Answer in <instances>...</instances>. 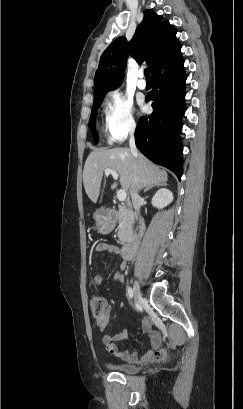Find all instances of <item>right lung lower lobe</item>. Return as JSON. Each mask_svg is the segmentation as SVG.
Returning a JSON list of instances; mask_svg holds the SVG:
<instances>
[{
  "label": "right lung lower lobe",
  "mask_w": 243,
  "mask_h": 409,
  "mask_svg": "<svg viewBox=\"0 0 243 409\" xmlns=\"http://www.w3.org/2000/svg\"><path fill=\"white\" fill-rule=\"evenodd\" d=\"M152 78L153 90L146 101H153V112L140 118L135 131L136 146L148 159L170 169L180 180L183 173L180 132L186 81L181 46L160 63Z\"/></svg>",
  "instance_id": "obj_1"
}]
</instances>
